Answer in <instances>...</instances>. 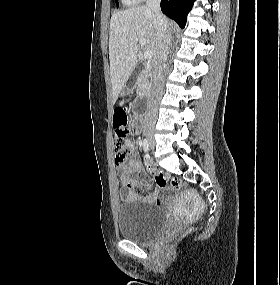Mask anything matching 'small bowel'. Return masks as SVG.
<instances>
[{
	"mask_svg": "<svg viewBox=\"0 0 280 285\" xmlns=\"http://www.w3.org/2000/svg\"><path fill=\"white\" fill-rule=\"evenodd\" d=\"M120 169V181L122 199L130 201L132 199L139 198L135 189L142 185V182L147 181V173L155 175L158 171L153 162L145 160L144 164L135 156L131 154L128 161L118 164ZM149 202H154L157 205H163L165 199L161 194V189L157 188L149 196L145 198Z\"/></svg>",
	"mask_w": 280,
	"mask_h": 285,
	"instance_id": "c3829d8e",
	"label": "small bowel"
}]
</instances>
